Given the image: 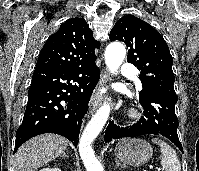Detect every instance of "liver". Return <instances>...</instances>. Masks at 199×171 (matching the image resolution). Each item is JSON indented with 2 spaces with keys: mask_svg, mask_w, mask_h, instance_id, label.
Here are the masks:
<instances>
[{
  "mask_svg": "<svg viewBox=\"0 0 199 171\" xmlns=\"http://www.w3.org/2000/svg\"><path fill=\"white\" fill-rule=\"evenodd\" d=\"M69 141L57 134H41L25 142L16 152L14 171H35L57 158Z\"/></svg>",
  "mask_w": 199,
  "mask_h": 171,
  "instance_id": "6515ba94",
  "label": "liver"
}]
</instances>
